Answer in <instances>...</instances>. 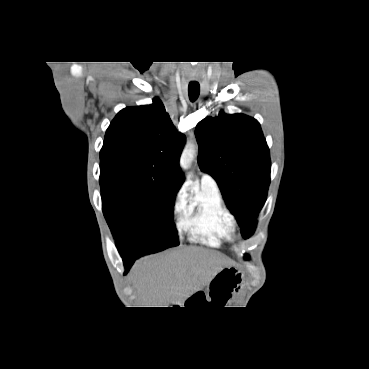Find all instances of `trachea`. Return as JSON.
Instances as JSON below:
<instances>
[{"label":"trachea","mask_w":369,"mask_h":369,"mask_svg":"<svg viewBox=\"0 0 369 369\" xmlns=\"http://www.w3.org/2000/svg\"><path fill=\"white\" fill-rule=\"evenodd\" d=\"M188 94L192 102L196 101L200 94V85L198 83H190L188 86Z\"/></svg>","instance_id":"obj_1"}]
</instances>
